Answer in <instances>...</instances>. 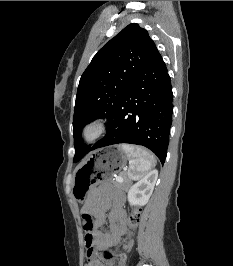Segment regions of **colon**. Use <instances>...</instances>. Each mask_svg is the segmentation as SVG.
Masks as SVG:
<instances>
[{"label": "colon", "mask_w": 233, "mask_h": 266, "mask_svg": "<svg viewBox=\"0 0 233 266\" xmlns=\"http://www.w3.org/2000/svg\"><path fill=\"white\" fill-rule=\"evenodd\" d=\"M82 221L86 229H90L92 227V218L89 214L83 213ZM138 222H139V211L137 209H134L133 211L130 212L128 216V224L131 228H134L138 224ZM129 238L130 236L124 241L123 243L124 248L127 246ZM102 256L104 260H111L112 258H116L121 266L125 262V255L123 253H119L118 255L113 256L109 251L104 250Z\"/></svg>", "instance_id": "5ec220e1"}]
</instances>
